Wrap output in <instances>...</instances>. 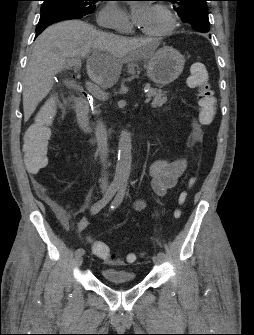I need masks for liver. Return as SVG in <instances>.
Wrapping results in <instances>:
<instances>
[{
	"label": "liver",
	"instance_id": "1",
	"mask_svg": "<svg viewBox=\"0 0 254 335\" xmlns=\"http://www.w3.org/2000/svg\"><path fill=\"white\" fill-rule=\"evenodd\" d=\"M150 42L106 33L79 20L49 26L36 39L27 66L23 82L24 120H29L51 91L55 75L65 68L69 58L88 57L89 78L107 89L118 81L123 64L148 60L154 52Z\"/></svg>",
	"mask_w": 254,
	"mask_h": 335
}]
</instances>
